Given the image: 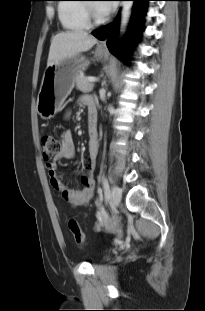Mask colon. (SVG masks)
Returning a JSON list of instances; mask_svg holds the SVG:
<instances>
[{
  "instance_id": "5ec220e1",
  "label": "colon",
  "mask_w": 205,
  "mask_h": 311,
  "mask_svg": "<svg viewBox=\"0 0 205 311\" xmlns=\"http://www.w3.org/2000/svg\"><path fill=\"white\" fill-rule=\"evenodd\" d=\"M42 157L46 162L52 160L56 153L61 148V142L51 135H44L41 139ZM68 228L71 232L75 243L79 246L85 244V234L82 231L78 221L75 218H71L68 221Z\"/></svg>"
}]
</instances>
